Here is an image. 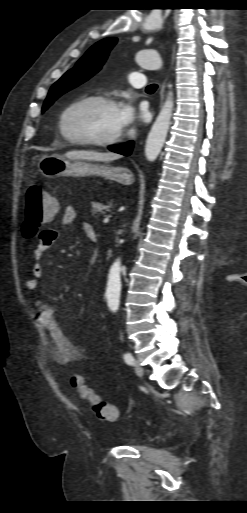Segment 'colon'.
Segmentation results:
<instances>
[{
    "label": "colon",
    "mask_w": 247,
    "mask_h": 513,
    "mask_svg": "<svg viewBox=\"0 0 247 513\" xmlns=\"http://www.w3.org/2000/svg\"><path fill=\"white\" fill-rule=\"evenodd\" d=\"M58 211L59 204L54 196L39 184L30 186L24 199L23 236L25 238L37 236L39 230L50 223L56 217ZM71 384L78 391L80 397L89 402L98 418L106 421L117 419L118 409L98 396L92 388L85 384L81 376H73Z\"/></svg>",
    "instance_id": "colon-1"
}]
</instances>
